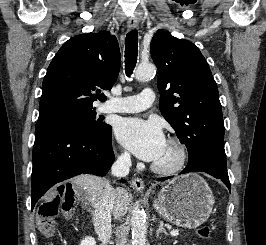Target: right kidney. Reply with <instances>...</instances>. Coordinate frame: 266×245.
Segmentation results:
<instances>
[{
  "label": "right kidney",
  "instance_id": "right-kidney-1",
  "mask_svg": "<svg viewBox=\"0 0 266 245\" xmlns=\"http://www.w3.org/2000/svg\"><path fill=\"white\" fill-rule=\"evenodd\" d=\"M80 245H96V241L93 237H86V239L81 241Z\"/></svg>",
  "mask_w": 266,
  "mask_h": 245
}]
</instances>
